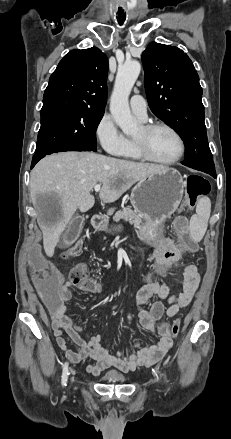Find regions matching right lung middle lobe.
<instances>
[{"mask_svg":"<svg viewBox=\"0 0 231 439\" xmlns=\"http://www.w3.org/2000/svg\"><path fill=\"white\" fill-rule=\"evenodd\" d=\"M104 111L68 110L41 117L35 154L97 151L96 130Z\"/></svg>","mask_w":231,"mask_h":439,"instance_id":"dd1d6c3e","label":"right lung middle lobe"}]
</instances>
